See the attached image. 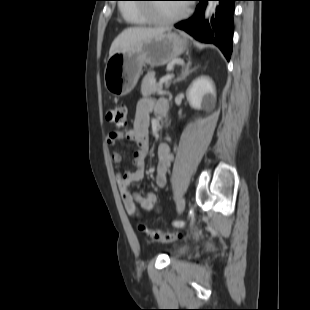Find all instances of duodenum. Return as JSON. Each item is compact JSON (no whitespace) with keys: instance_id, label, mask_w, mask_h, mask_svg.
Instances as JSON below:
<instances>
[{"instance_id":"duodenum-1","label":"duodenum","mask_w":310,"mask_h":310,"mask_svg":"<svg viewBox=\"0 0 310 310\" xmlns=\"http://www.w3.org/2000/svg\"><path fill=\"white\" fill-rule=\"evenodd\" d=\"M162 116L164 117V116H166L165 114H162Z\"/></svg>"}]
</instances>
